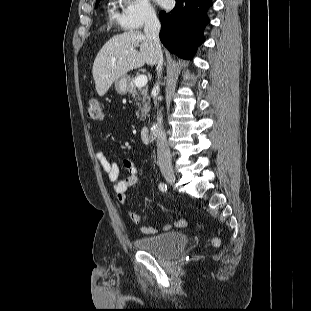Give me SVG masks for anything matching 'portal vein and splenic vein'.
<instances>
[{"instance_id":"portal-vein-and-splenic-vein-1","label":"portal vein and splenic vein","mask_w":311,"mask_h":311,"mask_svg":"<svg viewBox=\"0 0 311 311\" xmlns=\"http://www.w3.org/2000/svg\"><path fill=\"white\" fill-rule=\"evenodd\" d=\"M147 82H148V79L146 75H140L135 78V85L137 87H144L147 84Z\"/></svg>"}]
</instances>
